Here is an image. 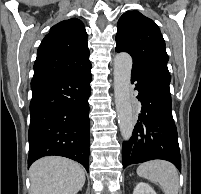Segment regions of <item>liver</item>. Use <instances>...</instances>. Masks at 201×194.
<instances>
[{
  "label": "liver",
  "instance_id": "liver-1",
  "mask_svg": "<svg viewBox=\"0 0 201 194\" xmlns=\"http://www.w3.org/2000/svg\"><path fill=\"white\" fill-rule=\"evenodd\" d=\"M29 176L30 194H76L85 183L80 164L57 156L37 160L30 167Z\"/></svg>",
  "mask_w": 201,
  "mask_h": 194
}]
</instances>
